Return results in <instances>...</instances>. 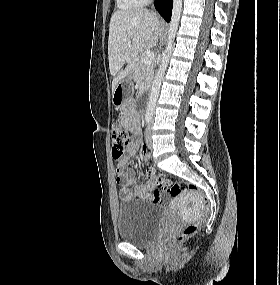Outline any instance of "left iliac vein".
Here are the masks:
<instances>
[{
    "label": "left iliac vein",
    "instance_id": "left-iliac-vein-1",
    "mask_svg": "<svg viewBox=\"0 0 280 285\" xmlns=\"http://www.w3.org/2000/svg\"><path fill=\"white\" fill-rule=\"evenodd\" d=\"M146 142L149 148H152V126L149 125L146 130Z\"/></svg>",
    "mask_w": 280,
    "mask_h": 285
}]
</instances>
